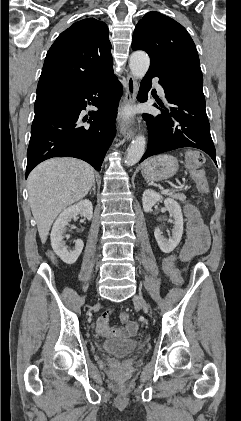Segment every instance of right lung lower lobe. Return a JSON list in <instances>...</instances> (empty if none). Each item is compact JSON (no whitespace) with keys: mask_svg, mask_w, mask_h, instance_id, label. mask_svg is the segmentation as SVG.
Listing matches in <instances>:
<instances>
[{"mask_svg":"<svg viewBox=\"0 0 241 421\" xmlns=\"http://www.w3.org/2000/svg\"><path fill=\"white\" fill-rule=\"evenodd\" d=\"M122 95L113 70L96 81L46 93L36 98L35 117L27 150L26 178L40 162L52 157H75L100 171L105 154L115 136V115ZM98 111L90 114V127L79 126L87 105ZM112 114V118H111Z\"/></svg>","mask_w":241,"mask_h":421,"instance_id":"right-lung-lower-lobe-1","label":"right lung lower lobe"}]
</instances>
